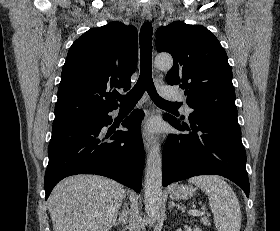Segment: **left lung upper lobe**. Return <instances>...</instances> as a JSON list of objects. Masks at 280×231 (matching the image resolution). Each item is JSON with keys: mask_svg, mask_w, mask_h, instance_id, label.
I'll return each instance as SVG.
<instances>
[{"mask_svg": "<svg viewBox=\"0 0 280 231\" xmlns=\"http://www.w3.org/2000/svg\"><path fill=\"white\" fill-rule=\"evenodd\" d=\"M156 49L173 57L166 81L185 89L189 116H237L227 54L208 29L174 21L157 30Z\"/></svg>", "mask_w": 280, "mask_h": 231, "instance_id": "1", "label": "left lung upper lobe"}]
</instances>
